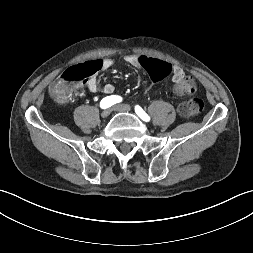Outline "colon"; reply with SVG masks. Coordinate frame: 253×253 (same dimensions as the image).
I'll use <instances>...</instances> for the list:
<instances>
[{"mask_svg": "<svg viewBox=\"0 0 253 253\" xmlns=\"http://www.w3.org/2000/svg\"><path fill=\"white\" fill-rule=\"evenodd\" d=\"M136 62L141 64L143 70H147L153 81H159L171 73V66L153 56L138 55ZM98 61H88L72 66L65 70L52 87V95L58 102H66L71 97L73 85L87 79L99 70ZM196 80L189 75H183L174 86L178 95L192 94L196 89ZM204 103L199 98H192L179 106V113L184 117H192L199 114Z\"/></svg>", "mask_w": 253, "mask_h": 253, "instance_id": "obj_1", "label": "colon"}]
</instances>
